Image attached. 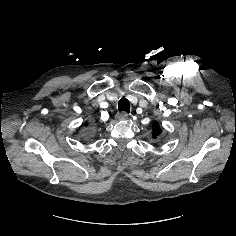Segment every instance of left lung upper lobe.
Instances as JSON below:
<instances>
[{
	"label": "left lung upper lobe",
	"mask_w": 236,
	"mask_h": 236,
	"mask_svg": "<svg viewBox=\"0 0 236 236\" xmlns=\"http://www.w3.org/2000/svg\"><path fill=\"white\" fill-rule=\"evenodd\" d=\"M161 133V128L158 126V123L153 124V135L157 136Z\"/></svg>",
	"instance_id": "obj_1"
}]
</instances>
